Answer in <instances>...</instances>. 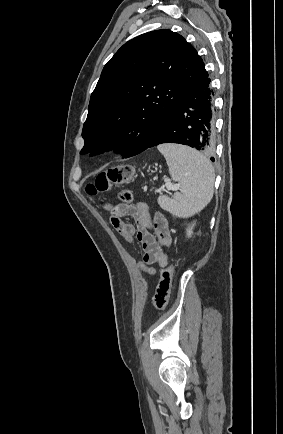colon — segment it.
Returning <instances> with one entry per match:
<instances>
[{"instance_id": "1", "label": "colon", "mask_w": 283, "mask_h": 434, "mask_svg": "<svg viewBox=\"0 0 283 434\" xmlns=\"http://www.w3.org/2000/svg\"><path fill=\"white\" fill-rule=\"evenodd\" d=\"M132 176L133 167L130 165H121L110 168L99 173L94 181L86 186V192L89 195H95L107 191L113 186L128 183ZM118 196L124 203H130L133 200V195L129 190H122ZM174 268L175 261L163 268L160 272V279L153 296V305L158 311L164 310L168 304Z\"/></svg>"}]
</instances>
